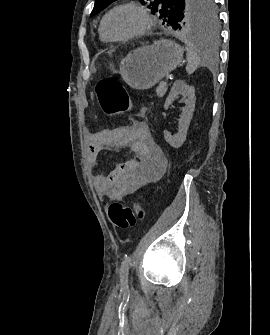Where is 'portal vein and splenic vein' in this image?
<instances>
[{"label":"portal vein and splenic vein","mask_w":270,"mask_h":335,"mask_svg":"<svg viewBox=\"0 0 270 335\" xmlns=\"http://www.w3.org/2000/svg\"><path fill=\"white\" fill-rule=\"evenodd\" d=\"M170 74H172V71H169V74H167L164 78L166 79L165 81L168 83L170 80Z\"/></svg>","instance_id":"portal-vein-and-splenic-vein-1"}]
</instances>
